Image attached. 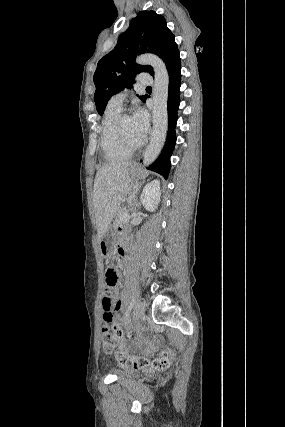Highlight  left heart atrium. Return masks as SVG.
<instances>
[{
  "label": "left heart atrium",
  "mask_w": 285,
  "mask_h": 427,
  "mask_svg": "<svg viewBox=\"0 0 285 427\" xmlns=\"http://www.w3.org/2000/svg\"><path fill=\"white\" fill-rule=\"evenodd\" d=\"M136 132L139 138L145 139L149 128V117L145 110L138 109L132 116Z\"/></svg>",
  "instance_id": "left-heart-atrium-1"
}]
</instances>
